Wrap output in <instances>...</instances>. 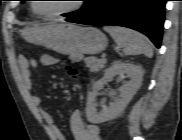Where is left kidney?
<instances>
[{
    "label": "left kidney",
    "mask_w": 182,
    "mask_h": 140,
    "mask_svg": "<svg viewBox=\"0 0 182 140\" xmlns=\"http://www.w3.org/2000/svg\"><path fill=\"white\" fill-rule=\"evenodd\" d=\"M127 74L129 81L121 86L118 90L120 98L111 102L109 106H103L100 112L96 109V97L98 91L102 89L106 80L112 79L116 75ZM143 70L140 66L132 63L115 62L109 67L101 80L95 81L92 85V90L88 94L86 105V116L91 123H103L117 117L127 107L132 97L139 89L142 79Z\"/></svg>",
    "instance_id": "1"
}]
</instances>
